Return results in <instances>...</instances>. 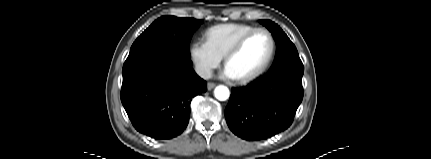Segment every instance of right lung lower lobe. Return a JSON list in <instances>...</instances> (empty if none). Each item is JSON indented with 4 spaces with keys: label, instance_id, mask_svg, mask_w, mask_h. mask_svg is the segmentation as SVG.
Listing matches in <instances>:
<instances>
[{
    "label": "right lung lower lobe",
    "instance_id": "obj_1",
    "mask_svg": "<svg viewBox=\"0 0 431 159\" xmlns=\"http://www.w3.org/2000/svg\"><path fill=\"white\" fill-rule=\"evenodd\" d=\"M122 75L127 115L137 131L154 139L180 135L189 122L192 98L207 90L190 58L159 45L129 54Z\"/></svg>",
    "mask_w": 431,
    "mask_h": 159
}]
</instances>
